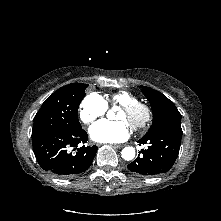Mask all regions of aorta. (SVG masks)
I'll return each mask as SVG.
<instances>
[{
	"label": "aorta",
	"mask_w": 221,
	"mask_h": 221,
	"mask_svg": "<svg viewBox=\"0 0 221 221\" xmlns=\"http://www.w3.org/2000/svg\"><path fill=\"white\" fill-rule=\"evenodd\" d=\"M124 160L130 161L135 157V149L133 147H125L121 152Z\"/></svg>",
	"instance_id": "aorta-1"
}]
</instances>
